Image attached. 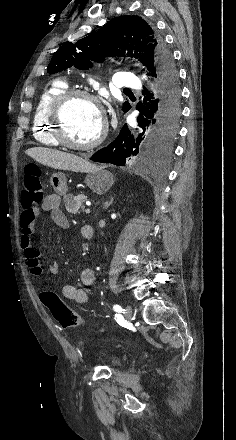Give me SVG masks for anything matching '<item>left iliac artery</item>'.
Here are the masks:
<instances>
[{
    "label": "left iliac artery",
    "instance_id": "1",
    "mask_svg": "<svg viewBox=\"0 0 236 440\" xmlns=\"http://www.w3.org/2000/svg\"><path fill=\"white\" fill-rule=\"evenodd\" d=\"M113 309H114V311H116V312H123L124 313V309H122V307L120 306V305H118V304H115L114 306H113Z\"/></svg>",
    "mask_w": 236,
    "mask_h": 440
}]
</instances>
